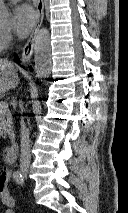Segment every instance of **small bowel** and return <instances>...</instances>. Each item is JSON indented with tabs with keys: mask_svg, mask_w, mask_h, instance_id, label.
I'll use <instances>...</instances> for the list:
<instances>
[{
	"mask_svg": "<svg viewBox=\"0 0 128 213\" xmlns=\"http://www.w3.org/2000/svg\"><path fill=\"white\" fill-rule=\"evenodd\" d=\"M12 178V170L4 168L0 173V200L6 208L4 213H15L16 202L9 190V183Z\"/></svg>",
	"mask_w": 128,
	"mask_h": 213,
	"instance_id": "small-bowel-1",
	"label": "small bowel"
}]
</instances>
